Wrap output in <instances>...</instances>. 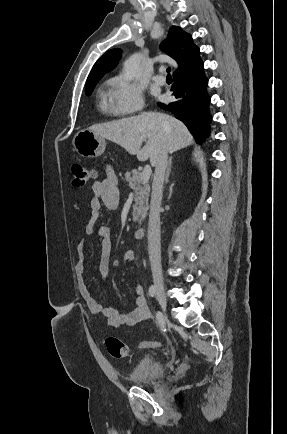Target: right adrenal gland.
<instances>
[{
  "mask_svg": "<svg viewBox=\"0 0 287 434\" xmlns=\"http://www.w3.org/2000/svg\"><path fill=\"white\" fill-rule=\"evenodd\" d=\"M171 166H172V157L169 158V162H168V168H167L166 179H165L166 183H168Z\"/></svg>",
  "mask_w": 287,
  "mask_h": 434,
  "instance_id": "obj_1",
  "label": "right adrenal gland"
}]
</instances>
